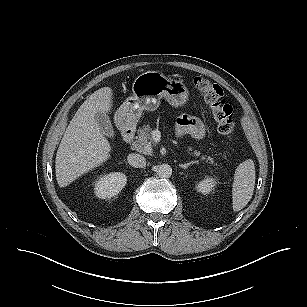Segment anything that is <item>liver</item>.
Here are the masks:
<instances>
[{"mask_svg":"<svg viewBox=\"0 0 307 307\" xmlns=\"http://www.w3.org/2000/svg\"><path fill=\"white\" fill-rule=\"evenodd\" d=\"M113 91L103 87L79 107L58 147L55 171L59 187H66L110 158L111 146L96 120L98 111L110 112Z\"/></svg>","mask_w":307,"mask_h":307,"instance_id":"liver-1","label":"liver"}]
</instances>
